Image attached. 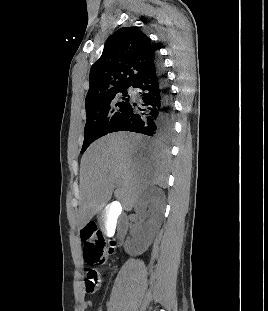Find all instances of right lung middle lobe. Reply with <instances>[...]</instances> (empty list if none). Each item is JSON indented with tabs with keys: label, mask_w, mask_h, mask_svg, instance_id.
<instances>
[{
	"label": "right lung middle lobe",
	"mask_w": 268,
	"mask_h": 311,
	"mask_svg": "<svg viewBox=\"0 0 268 311\" xmlns=\"http://www.w3.org/2000/svg\"><path fill=\"white\" fill-rule=\"evenodd\" d=\"M128 88L117 90L86 109L85 137L81 153L96 139L110 132L130 101Z\"/></svg>",
	"instance_id": "1"
}]
</instances>
